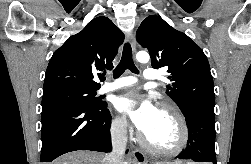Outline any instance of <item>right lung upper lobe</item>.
<instances>
[{
	"mask_svg": "<svg viewBox=\"0 0 251 164\" xmlns=\"http://www.w3.org/2000/svg\"><path fill=\"white\" fill-rule=\"evenodd\" d=\"M124 34L105 17L99 16L78 34L71 36L51 57L44 80V92L60 87L98 90L94 81L112 60L123 43Z\"/></svg>",
	"mask_w": 251,
	"mask_h": 164,
	"instance_id": "obj_1",
	"label": "right lung upper lobe"
}]
</instances>
